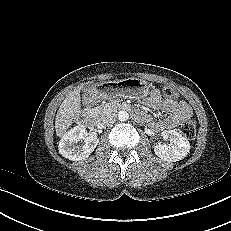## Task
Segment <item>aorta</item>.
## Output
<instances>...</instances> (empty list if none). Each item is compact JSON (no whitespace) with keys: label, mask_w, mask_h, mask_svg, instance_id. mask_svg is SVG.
<instances>
[{"label":"aorta","mask_w":231,"mask_h":231,"mask_svg":"<svg viewBox=\"0 0 231 231\" xmlns=\"http://www.w3.org/2000/svg\"><path fill=\"white\" fill-rule=\"evenodd\" d=\"M118 119L120 121H127L129 119V114L126 111H119L118 112Z\"/></svg>","instance_id":"obj_1"}]
</instances>
